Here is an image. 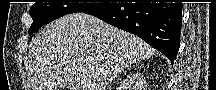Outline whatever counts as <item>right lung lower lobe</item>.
Segmentation results:
<instances>
[{"label":"right lung lower lobe","mask_w":216,"mask_h":90,"mask_svg":"<svg viewBox=\"0 0 216 90\" xmlns=\"http://www.w3.org/2000/svg\"><path fill=\"white\" fill-rule=\"evenodd\" d=\"M85 13L137 35L173 65L180 47L182 3H107Z\"/></svg>","instance_id":"right-lung-lower-lobe-1"}]
</instances>
